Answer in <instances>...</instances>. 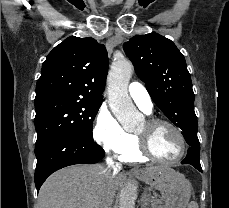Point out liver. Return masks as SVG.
<instances>
[{
	"label": "liver",
	"instance_id": "1",
	"mask_svg": "<svg viewBox=\"0 0 229 208\" xmlns=\"http://www.w3.org/2000/svg\"><path fill=\"white\" fill-rule=\"evenodd\" d=\"M105 170L101 164H77L55 172L40 188L35 208H100L106 184L109 192L106 202L107 206H111L116 190L123 186L127 176L116 174L109 180ZM133 172H168L172 176H181L170 166H150L145 170L133 168Z\"/></svg>",
	"mask_w": 229,
	"mask_h": 208
}]
</instances>
